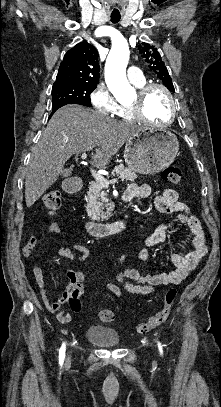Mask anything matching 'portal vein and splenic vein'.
<instances>
[{
    "label": "portal vein and splenic vein",
    "instance_id": "obj_1",
    "mask_svg": "<svg viewBox=\"0 0 221 407\" xmlns=\"http://www.w3.org/2000/svg\"><path fill=\"white\" fill-rule=\"evenodd\" d=\"M86 158H87V153L86 152L82 153V155H81L82 161L86 160ZM90 172H91L93 178L95 179V181L97 183H99V185L102 186L103 188H108L110 184L116 183L119 179V178H114L111 181H108L103 175L96 172V170H94L93 168H90Z\"/></svg>",
    "mask_w": 221,
    "mask_h": 407
}]
</instances>
